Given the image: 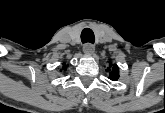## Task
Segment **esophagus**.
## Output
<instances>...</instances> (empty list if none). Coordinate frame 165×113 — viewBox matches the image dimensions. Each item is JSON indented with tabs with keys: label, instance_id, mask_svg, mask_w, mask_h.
<instances>
[{
	"label": "esophagus",
	"instance_id": "obj_1",
	"mask_svg": "<svg viewBox=\"0 0 165 113\" xmlns=\"http://www.w3.org/2000/svg\"><path fill=\"white\" fill-rule=\"evenodd\" d=\"M83 51L84 53L86 54H92L94 51H95V47L93 44L91 43H86L84 46H83Z\"/></svg>",
	"mask_w": 165,
	"mask_h": 113
}]
</instances>
